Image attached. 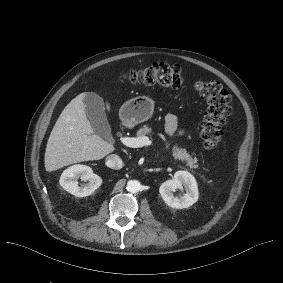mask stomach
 Wrapping results in <instances>:
<instances>
[{"mask_svg": "<svg viewBox=\"0 0 283 283\" xmlns=\"http://www.w3.org/2000/svg\"><path fill=\"white\" fill-rule=\"evenodd\" d=\"M154 109V101L141 96L131 99L119 111V117L123 125L133 127L134 125L148 120Z\"/></svg>", "mask_w": 283, "mask_h": 283, "instance_id": "obj_1", "label": "stomach"}]
</instances>
